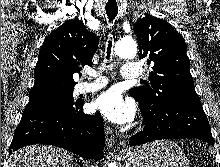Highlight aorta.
I'll return each mask as SVG.
<instances>
[{
    "mask_svg": "<svg viewBox=\"0 0 220 167\" xmlns=\"http://www.w3.org/2000/svg\"><path fill=\"white\" fill-rule=\"evenodd\" d=\"M114 51L115 54L120 58H131L137 52V45L132 38H123L115 44ZM108 167H116V164L110 163Z\"/></svg>",
    "mask_w": 220,
    "mask_h": 167,
    "instance_id": "762f6f07",
    "label": "aorta"
}]
</instances>
